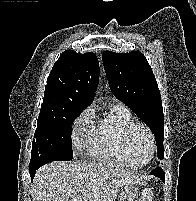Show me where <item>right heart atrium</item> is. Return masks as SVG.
Instances as JSON below:
<instances>
[{
	"label": "right heart atrium",
	"mask_w": 196,
	"mask_h": 201,
	"mask_svg": "<svg viewBox=\"0 0 196 201\" xmlns=\"http://www.w3.org/2000/svg\"><path fill=\"white\" fill-rule=\"evenodd\" d=\"M93 111L91 108L84 109L74 120L72 126V141L75 149H82L87 146L90 132Z\"/></svg>",
	"instance_id": "right-heart-atrium-1"
}]
</instances>
